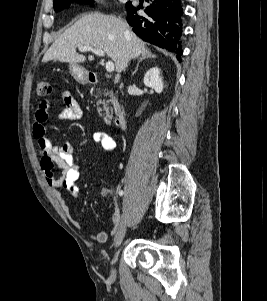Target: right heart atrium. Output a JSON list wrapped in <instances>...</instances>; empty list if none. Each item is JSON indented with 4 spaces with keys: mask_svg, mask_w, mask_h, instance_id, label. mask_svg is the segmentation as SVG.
Returning a JSON list of instances; mask_svg holds the SVG:
<instances>
[{
    "mask_svg": "<svg viewBox=\"0 0 267 301\" xmlns=\"http://www.w3.org/2000/svg\"><path fill=\"white\" fill-rule=\"evenodd\" d=\"M94 2H96V3H99V2H101L102 0H93Z\"/></svg>",
    "mask_w": 267,
    "mask_h": 301,
    "instance_id": "obj_1",
    "label": "right heart atrium"
}]
</instances>
